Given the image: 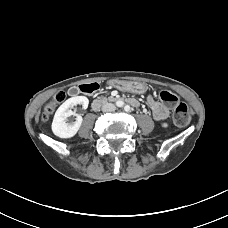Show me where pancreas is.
Here are the masks:
<instances>
[{"label":"pancreas","mask_w":228,"mask_h":228,"mask_svg":"<svg viewBox=\"0 0 228 228\" xmlns=\"http://www.w3.org/2000/svg\"><path fill=\"white\" fill-rule=\"evenodd\" d=\"M108 100H111V99H110V98H109V99H107V98H102L101 101L106 102V101H108Z\"/></svg>","instance_id":"pancreas-1"}]
</instances>
